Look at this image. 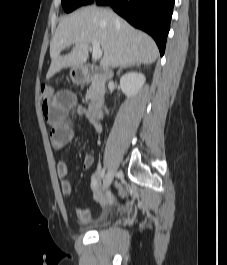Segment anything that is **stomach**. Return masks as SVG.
<instances>
[{
	"instance_id": "0dacf381",
	"label": "stomach",
	"mask_w": 227,
	"mask_h": 265,
	"mask_svg": "<svg viewBox=\"0 0 227 265\" xmlns=\"http://www.w3.org/2000/svg\"><path fill=\"white\" fill-rule=\"evenodd\" d=\"M70 77L72 79V81L79 83L81 82V78L78 76V70L77 68H72L70 71Z\"/></svg>"
}]
</instances>
